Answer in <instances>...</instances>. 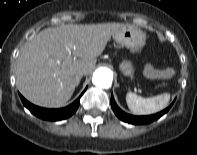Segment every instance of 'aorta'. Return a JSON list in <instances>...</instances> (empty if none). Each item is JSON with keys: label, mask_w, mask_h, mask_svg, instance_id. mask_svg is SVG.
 <instances>
[{"label": "aorta", "mask_w": 197, "mask_h": 155, "mask_svg": "<svg viewBox=\"0 0 197 155\" xmlns=\"http://www.w3.org/2000/svg\"><path fill=\"white\" fill-rule=\"evenodd\" d=\"M113 79V73L110 69L98 68L93 76V83L100 88H109Z\"/></svg>", "instance_id": "obj_1"}]
</instances>
